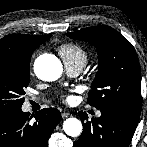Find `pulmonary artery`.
I'll use <instances>...</instances> for the list:
<instances>
[{"instance_id":"obj_1","label":"pulmonary artery","mask_w":147,"mask_h":147,"mask_svg":"<svg viewBox=\"0 0 147 147\" xmlns=\"http://www.w3.org/2000/svg\"><path fill=\"white\" fill-rule=\"evenodd\" d=\"M81 69L82 68L80 66H78V65H66V70H67V72H68V74L70 76H76V75H78L80 73ZM32 100L33 101H36L37 98L36 97H33ZM96 116L97 117H100L101 116V112L98 111L96 113Z\"/></svg>"}]
</instances>
